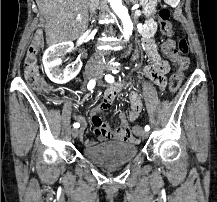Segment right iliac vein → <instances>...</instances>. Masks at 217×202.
I'll return each instance as SVG.
<instances>
[{"instance_id": "63e3f726", "label": "right iliac vein", "mask_w": 217, "mask_h": 202, "mask_svg": "<svg viewBox=\"0 0 217 202\" xmlns=\"http://www.w3.org/2000/svg\"><path fill=\"white\" fill-rule=\"evenodd\" d=\"M87 78H88V79H92V78H94V75H93V74H88V75H87ZM78 135H79V130L73 129V130H72V136L75 138V137H77Z\"/></svg>"}]
</instances>
